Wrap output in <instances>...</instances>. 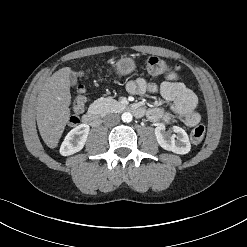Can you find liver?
<instances>
[{
	"label": "liver",
	"mask_w": 247,
	"mask_h": 247,
	"mask_svg": "<svg viewBox=\"0 0 247 247\" xmlns=\"http://www.w3.org/2000/svg\"><path fill=\"white\" fill-rule=\"evenodd\" d=\"M70 67H64L47 78L37 104L36 120L40 135L49 148H55L70 117Z\"/></svg>",
	"instance_id": "6515ba94"
}]
</instances>
